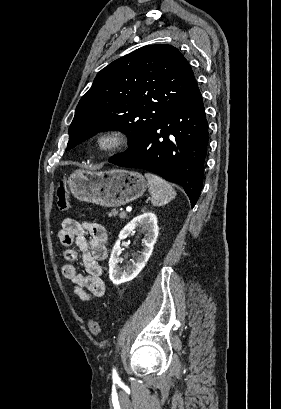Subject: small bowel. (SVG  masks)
I'll use <instances>...</instances> for the list:
<instances>
[{
	"instance_id": "small-bowel-1",
	"label": "small bowel",
	"mask_w": 281,
	"mask_h": 409,
	"mask_svg": "<svg viewBox=\"0 0 281 409\" xmlns=\"http://www.w3.org/2000/svg\"><path fill=\"white\" fill-rule=\"evenodd\" d=\"M61 243L67 248L63 257L67 261L62 266L63 276L74 285V293L83 301L91 297H103L107 285L102 278L101 262L108 256L107 234L97 223L65 218L58 232ZM81 253L84 273L77 271L72 262Z\"/></svg>"
}]
</instances>
